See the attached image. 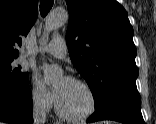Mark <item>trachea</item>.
Masks as SVG:
<instances>
[{
    "label": "trachea",
    "instance_id": "obj_1",
    "mask_svg": "<svg viewBox=\"0 0 156 124\" xmlns=\"http://www.w3.org/2000/svg\"><path fill=\"white\" fill-rule=\"evenodd\" d=\"M54 0H40V12L45 17L53 6Z\"/></svg>",
    "mask_w": 156,
    "mask_h": 124
}]
</instances>
